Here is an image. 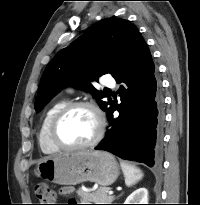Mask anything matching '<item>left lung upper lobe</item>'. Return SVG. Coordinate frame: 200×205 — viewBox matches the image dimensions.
Wrapping results in <instances>:
<instances>
[{
    "mask_svg": "<svg viewBox=\"0 0 200 205\" xmlns=\"http://www.w3.org/2000/svg\"><path fill=\"white\" fill-rule=\"evenodd\" d=\"M137 32L130 22L119 18L103 19L88 29L47 65L40 81L35 110L40 111L57 92L72 85L91 89L93 97L107 113L112 100L103 101L104 94L89 81L107 73L113 76Z\"/></svg>",
    "mask_w": 200,
    "mask_h": 205,
    "instance_id": "5c2ea615",
    "label": "left lung upper lobe"
}]
</instances>
